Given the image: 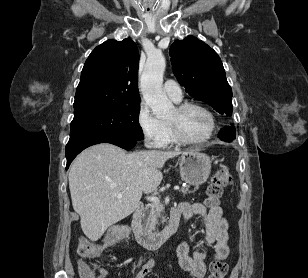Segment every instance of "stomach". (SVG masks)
<instances>
[{
	"label": "stomach",
	"mask_w": 308,
	"mask_h": 278,
	"mask_svg": "<svg viewBox=\"0 0 308 278\" xmlns=\"http://www.w3.org/2000/svg\"><path fill=\"white\" fill-rule=\"evenodd\" d=\"M179 170L182 180L193 186L202 185L211 172V159L197 150H190L179 157Z\"/></svg>",
	"instance_id": "obj_1"
}]
</instances>
